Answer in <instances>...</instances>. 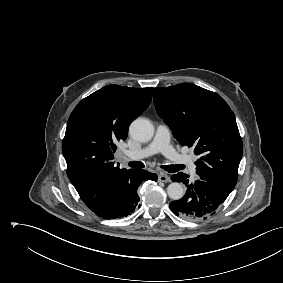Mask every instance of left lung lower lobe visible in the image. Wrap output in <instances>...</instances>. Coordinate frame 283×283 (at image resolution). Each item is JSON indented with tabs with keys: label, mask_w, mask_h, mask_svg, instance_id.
<instances>
[{
	"label": "left lung lower lobe",
	"mask_w": 283,
	"mask_h": 283,
	"mask_svg": "<svg viewBox=\"0 0 283 283\" xmlns=\"http://www.w3.org/2000/svg\"><path fill=\"white\" fill-rule=\"evenodd\" d=\"M188 177L182 172L171 176L173 182H183L187 191L184 197L169 204L170 210L186 220L207 219L216 213L230 193L200 179L189 183Z\"/></svg>",
	"instance_id": "left-lung-lower-lobe-1"
}]
</instances>
